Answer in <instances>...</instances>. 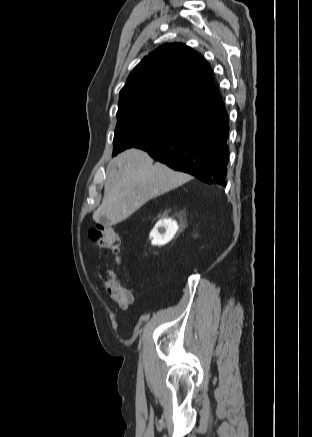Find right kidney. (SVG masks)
I'll return each mask as SVG.
<instances>
[{
  "mask_svg": "<svg viewBox=\"0 0 312 437\" xmlns=\"http://www.w3.org/2000/svg\"><path fill=\"white\" fill-rule=\"evenodd\" d=\"M178 231V224L175 220L164 219L155 225L150 233V238H152L153 245H164L168 243L176 232Z\"/></svg>",
  "mask_w": 312,
  "mask_h": 437,
  "instance_id": "obj_1",
  "label": "right kidney"
}]
</instances>
